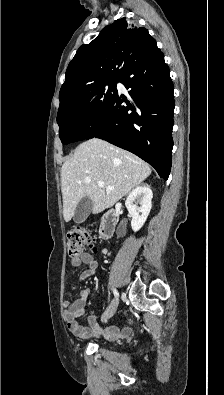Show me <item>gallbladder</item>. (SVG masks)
<instances>
[{
    "label": "gallbladder",
    "instance_id": "bac80fb5",
    "mask_svg": "<svg viewBox=\"0 0 224 395\" xmlns=\"http://www.w3.org/2000/svg\"><path fill=\"white\" fill-rule=\"evenodd\" d=\"M93 209V201L89 197L82 198L77 204L73 220L80 224L84 222Z\"/></svg>",
    "mask_w": 224,
    "mask_h": 395
}]
</instances>
